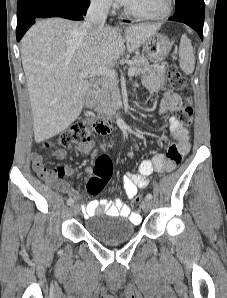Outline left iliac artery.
Here are the masks:
<instances>
[{"instance_id": "left-iliac-artery-1", "label": "left iliac artery", "mask_w": 227, "mask_h": 298, "mask_svg": "<svg viewBox=\"0 0 227 298\" xmlns=\"http://www.w3.org/2000/svg\"><path fill=\"white\" fill-rule=\"evenodd\" d=\"M152 194L151 193H148L147 195H146V198H148V199H152Z\"/></svg>"}]
</instances>
